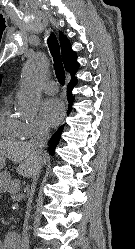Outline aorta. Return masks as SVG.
<instances>
[{"label":"aorta","mask_w":135,"mask_h":249,"mask_svg":"<svg viewBox=\"0 0 135 249\" xmlns=\"http://www.w3.org/2000/svg\"><path fill=\"white\" fill-rule=\"evenodd\" d=\"M49 71V62L43 54H36L25 64L20 91L19 108L30 116L38 113L41 105V84Z\"/></svg>","instance_id":"aorta-1"}]
</instances>
